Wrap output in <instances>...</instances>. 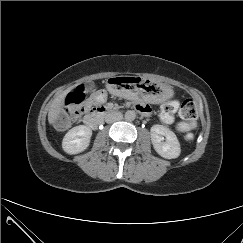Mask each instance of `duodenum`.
<instances>
[{"label": "duodenum", "instance_id": "410a0bca", "mask_svg": "<svg viewBox=\"0 0 243 243\" xmlns=\"http://www.w3.org/2000/svg\"><path fill=\"white\" fill-rule=\"evenodd\" d=\"M117 111L106 106H98L90 110L84 117L85 124L90 128H97L103 119L109 115L114 114Z\"/></svg>", "mask_w": 243, "mask_h": 243}]
</instances>
